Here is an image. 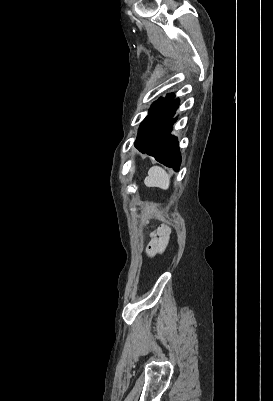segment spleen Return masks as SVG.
I'll list each match as a JSON object with an SVG mask.
<instances>
[{
  "label": "spleen",
  "mask_w": 273,
  "mask_h": 401,
  "mask_svg": "<svg viewBox=\"0 0 273 401\" xmlns=\"http://www.w3.org/2000/svg\"><path fill=\"white\" fill-rule=\"evenodd\" d=\"M149 176H146L144 182L146 186H160V188H168L169 174L161 166H152L148 170Z\"/></svg>",
  "instance_id": "1"
}]
</instances>
